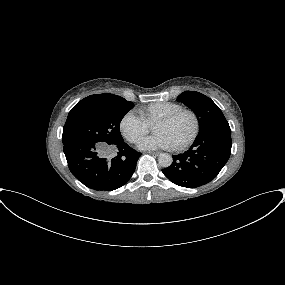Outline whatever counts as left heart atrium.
Instances as JSON below:
<instances>
[{
    "label": "left heart atrium",
    "instance_id": "obj_1",
    "mask_svg": "<svg viewBox=\"0 0 285 285\" xmlns=\"http://www.w3.org/2000/svg\"><path fill=\"white\" fill-rule=\"evenodd\" d=\"M138 147L142 150H156L173 147L171 140L163 133H155L139 140Z\"/></svg>",
    "mask_w": 285,
    "mask_h": 285
}]
</instances>
